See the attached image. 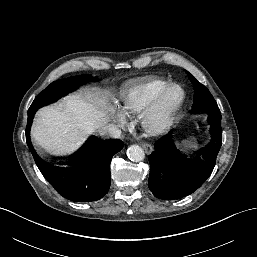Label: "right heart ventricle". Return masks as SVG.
<instances>
[{
    "mask_svg": "<svg viewBox=\"0 0 257 257\" xmlns=\"http://www.w3.org/2000/svg\"><path fill=\"white\" fill-rule=\"evenodd\" d=\"M166 84L167 81L154 76L131 84L121 93L122 111L128 115L142 112Z\"/></svg>",
    "mask_w": 257,
    "mask_h": 257,
    "instance_id": "e07e8e85",
    "label": "right heart ventricle"
}]
</instances>
